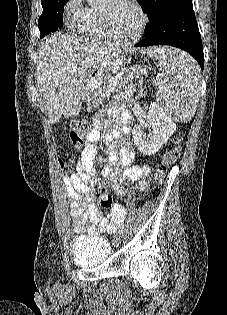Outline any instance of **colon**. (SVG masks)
Returning <instances> with one entry per match:
<instances>
[{
	"instance_id": "1",
	"label": "colon",
	"mask_w": 227,
	"mask_h": 315,
	"mask_svg": "<svg viewBox=\"0 0 227 315\" xmlns=\"http://www.w3.org/2000/svg\"><path fill=\"white\" fill-rule=\"evenodd\" d=\"M88 124L83 120H75L72 122L68 136L73 147L80 148L85 144V139L89 134ZM180 138L175 136L173 138L172 146L164 153L161 163L158 165L155 171V181L160 183L166 173V170L176 162L180 155ZM59 165L62 170H67L69 164L63 159H59ZM100 205L104 208L113 206V199L111 194L104 188L99 195Z\"/></svg>"
}]
</instances>
